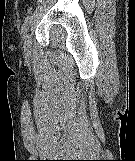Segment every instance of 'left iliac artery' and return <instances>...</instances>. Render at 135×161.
Instances as JSON below:
<instances>
[{
  "label": "left iliac artery",
  "instance_id": "left-iliac-artery-1",
  "mask_svg": "<svg viewBox=\"0 0 135 161\" xmlns=\"http://www.w3.org/2000/svg\"><path fill=\"white\" fill-rule=\"evenodd\" d=\"M31 19H32V16H27L24 20V23L22 25V29H21V33L24 37L25 33L27 32L28 30V27H29V23L31 22Z\"/></svg>",
  "mask_w": 135,
  "mask_h": 161
}]
</instances>
